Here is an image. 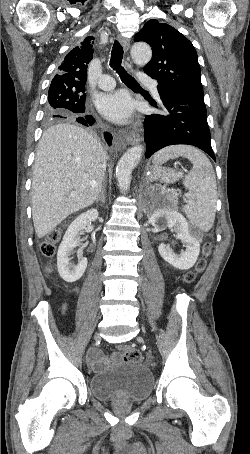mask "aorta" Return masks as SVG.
<instances>
[{"label":"aorta","instance_id":"762f6f07","mask_svg":"<svg viewBox=\"0 0 250 454\" xmlns=\"http://www.w3.org/2000/svg\"><path fill=\"white\" fill-rule=\"evenodd\" d=\"M131 56L135 64L145 66L151 60L152 50L148 44L137 42L134 43L131 48ZM143 150L144 148L142 145H136L129 148L117 164L116 178L120 189L124 192L129 189L132 171L139 163Z\"/></svg>","mask_w":250,"mask_h":454}]
</instances>
